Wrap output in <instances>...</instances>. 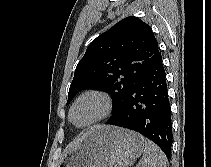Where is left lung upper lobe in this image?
<instances>
[{
	"label": "left lung upper lobe",
	"instance_id": "left-lung-upper-lobe-1",
	"mask_svg": "<svg viewBox=\"0 0 211 167\" xmlns=\"http://www.w3.org/2000/svg\"><path fill=\"white\" fill-rule=\"evenodd\" d=\"M158 53V42L148 24L137 17L121 20L88 46L75 69L67 103L80 90H105L113 97L112 117L116 116Z\"/></svg>",
	"mask_w": 211,
	"mask_h": 167
}]
</instances>
